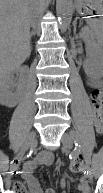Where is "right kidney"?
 <instances>
[{
    "label": "right kidney",
    "mask_w": 103,
    "mask_h": 193,
    "mask_svg": "<svg viewBox=\"0 0 103 193\" xmlns=\"http://www.w3.org/2000/svg\"><path fill=\"white\" fill-rule=\"evenodd\" d=\"M28 71L27 68L19 67L16 70L2 74L0 76V103L7 107H15L18 104V92H13L14 88L20 89L22 87V80L18 82L15 80V74H23Z\"/></svg>",
    "instance_id": "right-kidney-1"
}]
</instances>
